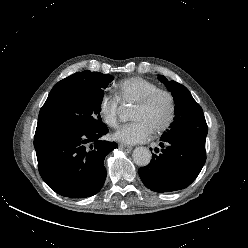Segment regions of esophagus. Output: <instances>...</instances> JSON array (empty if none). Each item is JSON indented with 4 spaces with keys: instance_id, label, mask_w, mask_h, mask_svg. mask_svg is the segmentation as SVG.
I'll list each match as a JSON object with an SVG mask.
<instances>
[{
    "instance_id": "esophagus-1",
    "label": "esophagus",
    "mask_w": 248,
    "mask_h": 248,
    "mask_svg": "<svg viewBox=\"0 0 248 248\" xmlns=\"http://www.w3.org/2000/svg\"><path fill=\"white\" fill-rule=\"evenodd\" d=\"M119 147L127 152H130L133 148L128 145L120 144Z\"/></svg>"
}]
</instances>
